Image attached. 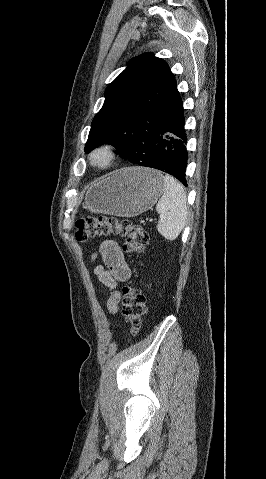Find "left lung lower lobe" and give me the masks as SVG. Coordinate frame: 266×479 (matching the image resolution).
<instances>
[{
    "instance_id": "1",
    "label": "left lung lower lobe",
    "mask_w": 266,
    "mask_h": 479,
    "mask_svg": "<svg viewBox=\"0 0 266 479\" xmlns=\"http://www.w3.org/2000/svg\"><path fill=\"white\" fill-rule=\"evenodd\" d=\"M186 142L182 99L178 93L164 117L152 161L141 166L166 172L187 186L185 172L188 153Z\"/></svg>"
}]
</instances>
